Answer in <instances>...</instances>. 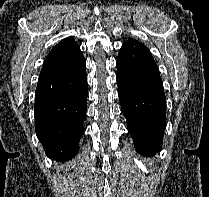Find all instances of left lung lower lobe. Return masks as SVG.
<instances>
[{"instance_id": "1", "label": "left lung lower lobe", "mask_w": 209, "mask_h": 197, "mask_svg": "<svg viewBox=\"0 0 209 197\" xmlns=\"http://www.w3.org/2000/svg\"><path fill=\"white\" fill-rule=\"evenodd\" d=\"M117 83L121 110L136 151L152 156L163 144L166 99L158 66L139 41L123 43L117 57Z\"/></svg>"}]
</instances>
